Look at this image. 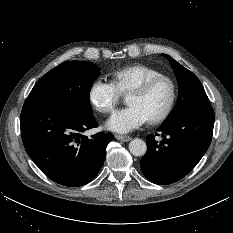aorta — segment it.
<instances>
[{"label": "aorta", "mask_w": 233, "mask_h": 233, "mask_svg": "<svg viewBox=\"0 0 233 233\" xmlns=\"http://www.w3.org/2000/svg\"><path fill=\"white\" fill-rule=\"evenodd\" d=\"M129 151L134 156H142L147 151L146 142L142 139L135 138L129 143Z\"/></svg>", "instance_id": "obj_1"}]
</instances>
